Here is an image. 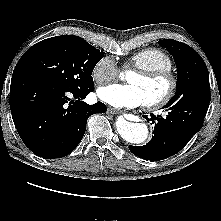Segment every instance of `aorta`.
<instances>
[{
  "mask_svg": "<svg viewBox=\"0 0 221 221\" xmlns=\"http://www.w3.org/2000/svg\"><path fill=\"white\" fill-rule=\"evenodd\" d=\"M115 124L120 136L129 143L141 144L148 138L149 129L145 123L130 122L119 116Z\"/></svg>",
  "mask_w": 221,
  "mask_h": 221,
  "instance_id": "762f6f07",
  "label": "aorta"
}]
</instances>
